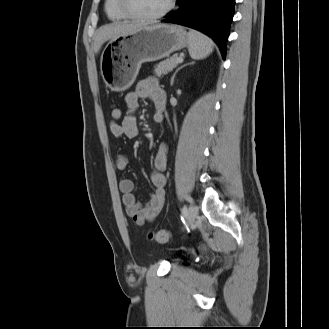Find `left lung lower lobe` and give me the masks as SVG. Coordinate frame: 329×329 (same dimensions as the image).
<instances>
[{
    "label": "left lung lower lobe",
    "mask_w": 329,
    "mask_h": 329,
    "mask_svg": "<svg viewBox=\"0 0 329 329\" xmlns=\"http://www.w3.org/2000/svg\"><path fill=\"white\" fill-rule=\"evenodd\" d=\"M179 9L162 22L184 25L211 37L222 53L226 54V41L234 15L235 0H179Z\"/></svg>",
    "instance_id": "1"
}]
</instances>
